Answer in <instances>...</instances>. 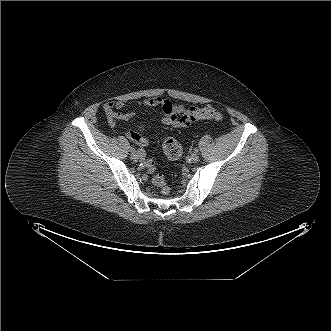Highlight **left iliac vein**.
Segmentation results:
<instances>
[{"mask_svg":"<svg viewBox=\"0 0 331 331\" xmlns=\"http://www.w3.org/2000/svg\"><path fill=\"white\" fill-rule=\"evenodd\" d=\"M190 158L193 162H197L199 160V155L197 153H192Z\"/></svg>","mask_w":331,"mask_h":331,"instance_id":"left-iliac-vein-1","label":"left iliac vein"}]
</instances>
